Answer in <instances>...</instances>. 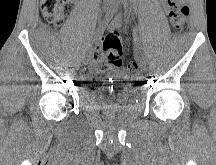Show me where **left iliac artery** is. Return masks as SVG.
Wrapping results in <instances>:
<instances>
[{
    "instance_id": "1",
    "label": "left iliac artery",
    "mask_w": 216,
    "mask_h": 165,
    "mask_svg": "<svg viewBox=\"0 0 216 165\" xmlns=\"http://www.w3.org/2000/svg\"><path fill=\"white\" fill-rule=\"evenodd\" d=\"M125 17H127V19H129V13H128L127 10H125ZM134 41H135V44H136L137 48L140 49V48H141V47H140V46H141V44H140V39H139V37H138L137 35H135Z\"/></svg>"
}]
</instances>
